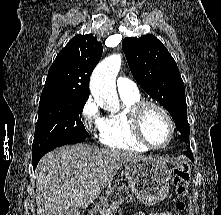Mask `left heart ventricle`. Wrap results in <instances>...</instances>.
<instances>
[{"label": "left heart ventricle", "instance_id": "1", "mask_svg": "<svg viewBox=\"0 0 221 215\" xmlns=\"http://www.w3.org/2000/svg\"><path fill=\"white\" fill-rule=\"evenodd\" d=\"M143 131L152 144L161 146L169 138L170 126L161 111L154 107H149L144 113Z\"/></svg>", "mask_w": 221, "mask_h": 215}]
</instances>
